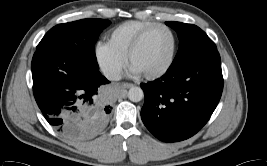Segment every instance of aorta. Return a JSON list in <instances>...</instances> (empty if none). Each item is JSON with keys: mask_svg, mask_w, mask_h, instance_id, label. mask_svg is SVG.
Masks as SVG:
<instances>
[{"mask_svg": "<svg viewBox=\"0 0 267 166\" xmlns=\"http://www.w3.org/2000/svg\"><path fill=\"white\" fill-rule=\"evenodd\" d=\"M128 98L132 102H139L144 98V92L140 87H131L128 91Z\"/></svg>", "mask_w": 267, "mask_h": 166, "instance_id": "1", "label": "aorta"}]
</instances>
